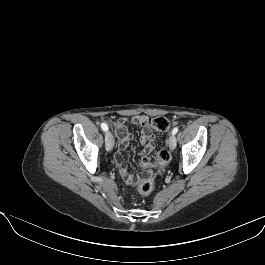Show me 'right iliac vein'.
I'll list each match as a JSON object with an SVG mask.
<instances>
[{"label":"right iliac vein","mask_w":265,"mask_h":265,"mask_svg":"<svg viewBox=\"0 0 265 265\" xmlns=\"http://www.w3.org/2000/svg\"><path fill=\"white\" fill-rule=\"evenodd\" d=\"M105 145L107 151H111L114 146V138L110 131H107L105 134Z\"/></svg>","instance_id":"63e3f726"}]
</instances>
